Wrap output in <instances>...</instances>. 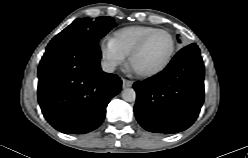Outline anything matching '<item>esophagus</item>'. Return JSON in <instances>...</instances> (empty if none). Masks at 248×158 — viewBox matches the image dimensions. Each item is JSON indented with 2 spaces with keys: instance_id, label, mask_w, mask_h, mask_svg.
<instances>
[{
  "instance_id": "34e87169",
  "label": "esophagus",
  "mask_w": 248,
  "mask_h": 158,
  "mask_svg": "<svg viewBox=\"0 0 248 158\" xmlns=\"http://www.w3.org/2000/svg\"><path fill=\"white\" fill-rule=\"evenodd\" d=\"M132 84H133V82L131 80H128V79H125V78L122 79V87L123 88L131 87Z\"/></svg>"
}]
</instances>
